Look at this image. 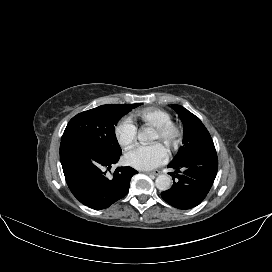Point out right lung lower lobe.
<instances>
[{
    "instance_id": "obj_1",
    "label": "right lung lower lobe",
    "mask_w": 272,
    "mask_h": 272,
    "mask_svg": "<svg viewBox=\"0 0 272 272\" xmlns=\"http://www.w3.org/2000/svg\"><path fill=\"white\" fill-rule=\"evenodd\" d=\"M122 152L108 153L90 142L62 141L60 160L67 185L78 201L93 209H105L129 191L131 177L137 171L118 167L112 176L107 173Z\"/></svg>"
}]
</instances>
